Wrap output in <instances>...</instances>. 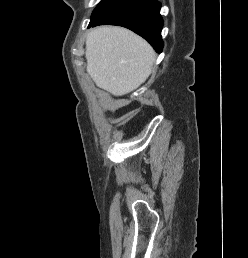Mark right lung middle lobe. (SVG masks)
<instances>
[{"label": "right lung middle lobe", "instance_id": "dd1d6c3e", "mask_svg": "<svg viewBox=\"0 0 248 258\" xmlns=\"http://www.w3.org/2000/svg\"><path fill=\"white\" fill-rule=\"evenodd\" d=\"M119 0H102L92 13L91 21L98 19Z\"/></svg>", "mask_w": 248, "mask_h": 258}]
</instances>
